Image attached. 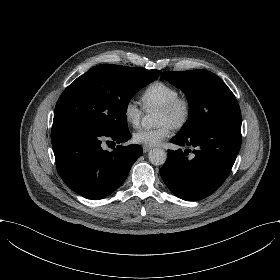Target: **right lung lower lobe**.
Wrapping results in <instances>:
<instances>
[{
    "instance_id": "1",
    "label": "right lung lower lobe",
    "mask_w": 280,
    "mask_h": 280,
    "mask_svg": "<svg viewBox=\"0 0 280 280\" xmlns=\"http://www.w3.org/2000/svg\"><path fill=\"white\" fill-rule=\"evenodd\" d=\"M131 138L128 128L101 134L84 127H52L51 141L58 173L77 194L93 200L107 197L127 178L131 166L142 154L137 144L103 150L102 141L122 143ZM115 144V143H114Z\"/></svg>"
}]
</instances>
